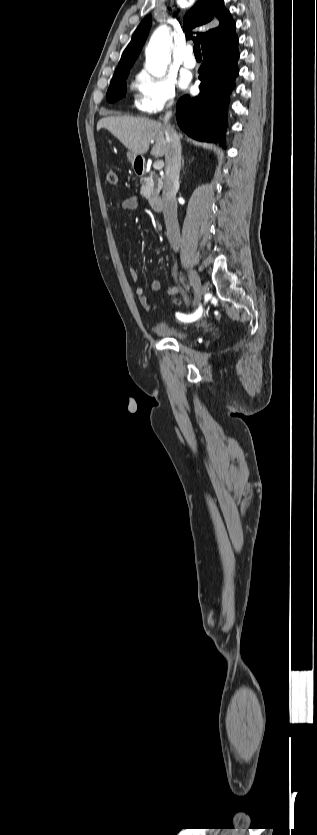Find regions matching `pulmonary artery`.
<instances>
[{
	"mask_svg": "<svg viewBox=\"0 0 317 835\" xmlns=\"http://www.w3.org/2000/svg\"><path fill=\"white\" fill-rule=\"evenodd\" d=\"M182 63L186 68L192 69L196 66V59L193 55V47L187 45L183 49Z\"/></svg>",
	"mask_w": 317,
	"mask_h": 835,
	"instance_id": "obj_1",
	"label": "pulmonary artery"
}]
</instances>
